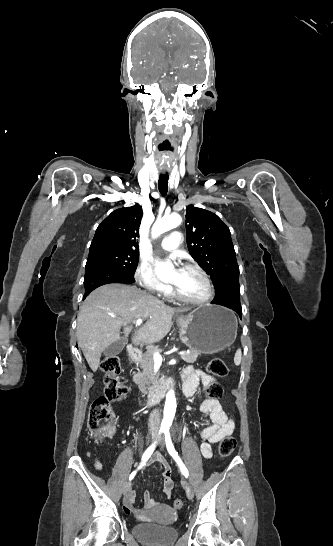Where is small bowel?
<instances>
[{
  "label": "small bowel",
  "mask_w": 333,
  "mask_h": 546,
  "mask_svg": "<svg viewBox=\"0 0 333 546\" xmlns=\"http://www.w3.org/2000/svg\"><path fill=\"white\" fill-rule=\"evenodd\" d=\"M183 391L188 397L194 395L198 385L202 383L207 386L215 382V378L205 372L188 367L184 371ZM141 403V401H140ZM201 411L208 415L211 419V424L201 429L197 433V438L201 441L200 451L204 458L213 456V445L221 441L225 436L231 435L235 429V422L230 412L223 409L217 399H207L200 407ZM151 464H159L162 467L163 476V491L169 497L174 488V482L171 478V469L165 457L160 453H155L150 459ZM98 470L102 469V464L96 461L95 464ZM145 508L136 509L133 504L135 501V493L129 492L124 501V511L127 514H134L138 521H149L154 512L168 511V508L156 501L150 494L145 492Z\"/></svg>",
  "instance_id": "small-bowel-1"
}]
</instances>
